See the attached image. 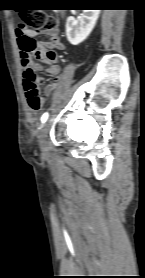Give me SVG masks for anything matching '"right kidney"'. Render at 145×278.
<instances>
[{
    "instance_id": "1",
    "label": "right kidney",
    "mask_w": 145,
    "mask_h": 278,
    "mask_svg": "<svg viewBox=\"0 0 145 278\" xmlns=\"http://www.w3.org/2000/svg\"><path fill=\"white\" fill-rule=\"evenodd\" d=\"M99 14L100 10H83L79 19H75L73 16L68 17L66 21L68 41L72 45L83 42L95 27Z\"/></svg>"
}]
</instances>
